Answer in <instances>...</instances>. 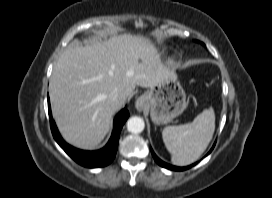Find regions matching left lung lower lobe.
Listing matches in <instances>:
<instances>
[{"label": "left lung lower lobe", "instance_id": "obj_1", "mask_svg": "<svg viewBox=\"0 0 272 198\" xmlns=\"http://www.w3.org/2000/svg\"><path fill=\"white\" fill-rule=\"evenodd\" d=\"M214 146H215V144H214ZM213 146V147H214ZM213 147H212V149H213ZM211 149V150H212ZM151 152H152V155H153V157H154V160L160 165V166H162V167H164V168H167V169H170V170H175V171H183V170H186V169H189V168H191L193 165H190V166H187V167H176V166H172V165H169V164H167V163H165V162H163L162 160H160L156 155H155V153L153 152V150L151 149ZM210 153V152H209Z\"/></svg>", "mask_w": 272, "mask_h": 198}]
</instances>
